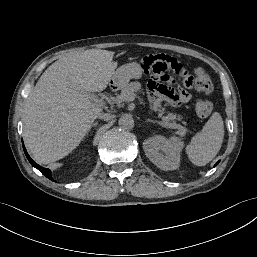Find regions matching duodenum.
Wrapping results in <instances>:
<instances>
[{"label":"duodenum","mask_w":257,"mask_h":257,"mask_svg":"<svg viewBox=\"0 0 257 257\" xmlns=\"http://www.w3.org/2000/svg\"><path fill=\"white\" fill-rule=\"evenodd\" d=\"M110 88H111L112 90L117 89V84H116V83H112L111 86H110Z\"/></svg>","instance_id":"410a0bca"}]
</instances>
